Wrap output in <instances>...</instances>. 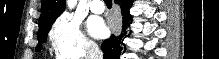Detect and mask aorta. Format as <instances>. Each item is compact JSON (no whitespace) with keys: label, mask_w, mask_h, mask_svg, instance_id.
<instances>
[{"label":"aorta","mask_w":219,"mask_h":59,"mask_svg":"<svg viewBox=\"0 0 219 59\" xmlns=\"http://www.w3.org/2000/svg\"><path fill=\"white\" fill-rule=\"evenodd\" d=\"M76 3H77V0H68V1H67V6H68L70 9H72V8L75 7Z\"/></svg>","instance_id":"obj_1"}]
</instances>
